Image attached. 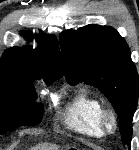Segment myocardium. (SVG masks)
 I'll list each match as a JSON object with an SVG mask.
<instances>
[{
	"label": "myocardium",
	"mask_w": 139,
	"mask_h": 150,
	"mask_svg": "<svg viewBox=\"0 0 139 150\" xmlns=\"http://www.w3.org/2000/svg\"><path fill=\"white\" fill-rule=\"evenodd\" d=\"M99 125L104 134H113L118 129L115 112L110 108H103L99 115Z\"/></svg>",
	"instance_id": "myocardium-1"
}]
</instances>
